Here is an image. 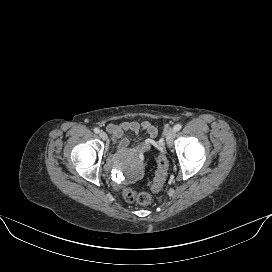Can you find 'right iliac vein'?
<instances>
[{"label":"right iliac vein","instance_id":"1","mask_svg":"<svg viewBox=\"0 0 272 272\" xmlns=\"http://www.w3.org/2000/svg\"><path fill=\"white\" fill-rule=\"evenodd\" d=\"M99 136H100V138L103 139V140H107V138H108L107 134H106L104 131H101V132L99 133Z\"/></svg>","mask_w":272,"mask_h":272}]
</instances>
